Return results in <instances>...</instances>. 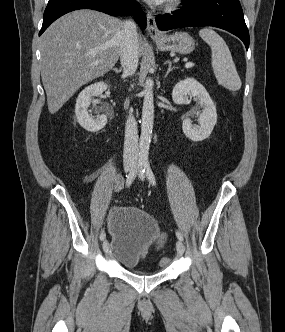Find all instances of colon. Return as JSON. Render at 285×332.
Returning <instances> with one entry per match:
<instances>
[{
  "mask_svg": "<svg viewBox=\"0 0 285 332\" xmlns=\"http://www.w3.org/2000/svg\"><path fill=\"white\" fill-rule=\"evenodd\" d=\"M169 262V258L168 257H164L160 260V264L162 265H166Z\"/></svg>",
  "mask_w": 285,
  "mask_h": 332,
  "instance_id": "obj_1",
  "label": "colon"
}]
</instances>
